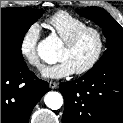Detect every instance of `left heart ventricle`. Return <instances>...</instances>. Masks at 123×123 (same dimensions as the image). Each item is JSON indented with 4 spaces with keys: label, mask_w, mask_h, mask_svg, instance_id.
I'll list each match as a JSON object with an SVG mask.
<instances>
[{
    "label": "left heart ventricle",
    "mask_w": 123,
    "mask_h": 123,
    "mask_svg": "<svg viewBox=\"0 0 123 123\" xmlns=\"http://www.w3.org/2000/svg\"><path fill=\"white\" fill-rule=\"evenodd\" d=\"M97 45L96 36L93 33H87L73 47L67 48L62 45L58 51L57 60L68 61L76 71L90 62L96 52Z\"/></svg>",
    "instance_id": "left-heart-ventricle-1"
}]
</instances>
